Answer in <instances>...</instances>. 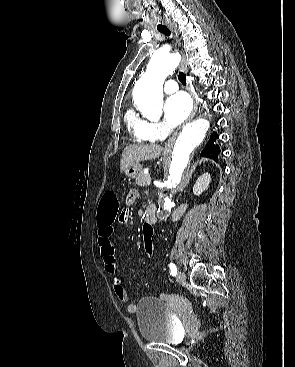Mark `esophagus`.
Wrapping results in <instances>:
<instances>
[{
	"mask_svg": "<svg viewBox=\"0 0 295 367\" xmlns=\"http://www.w3.org/2000/svg\"><path fill=\"white\" fill-rule=\"evenodd\" d=\"M170 30L172 31V33H174V34H175V36H176V37L178 36L176 26H174V25H170ZM178 44H180V42H179V41H178ZM180 68H181L185 73H187V71H188V66H187V63H186V61H185L184 59H182V60H181V62H180ZM188 90H189V92H190V94H191V96H192V99H193V110H192V112H191V114H190V116H189V118L187 119V121H186V122L190 121V120L195 116V114H196V112H197V110H198V104H199V103H198L197 96H196V93H195V91L193 90L191 83H189V82H188ZM180 128H181V127H180ZM180 128H178V129L173 133V135L170 137V139H169V140H168V142L166 143V145H165V151H166V152L171 151V149H172V147H173V145H174V142H175V140H176V137H177V135H178V133H179Z\"/></svg>",
	"mask_w": 295,
	"mask_h": 367,
	"instance_id": "esophagus-1",
	"label": "esophagus"
}]
</instances>
